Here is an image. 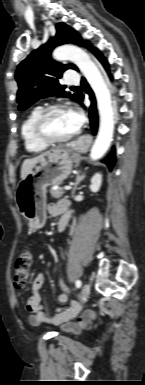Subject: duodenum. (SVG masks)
I'll return each instance as SVG.
<instances>
[{
  "label": "duodenum",
  "mask_w": 145,
  "mask_h": 385,
  "mask_svg": "<svg viewBox=\"0 0 145 385\" xmlns=\"http://www.w3.org/2000/svg\"><path fill=\"white\" fill-rule=\"evenodd\" d=\"M70 217H71V214L69 212H67L66 214H64L58 221V224H57V230L59 232H62L66 229V227L68 226L69 224V220H70Z\"/></svg>",
  "instance_id": "1"
}]
</instances>
